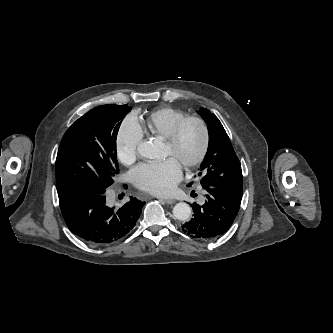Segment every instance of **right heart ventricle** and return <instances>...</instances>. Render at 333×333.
<instances>
[{"label":"right heart ventricle","instance_id":"obj_1","mask_svg":"<svg viewBox=\"0 0 333 333\" xmlns=\"http://www.w3.org/2000/svg\"><path fill=\"white\" fill-rule=\"evenodd\" d=\"M187 113L174 108H160L152 111L143 121V133L167 138L174 126L187 117Z\"/></svg>","mask_w":333,"mask_h":333}]
</instances>
